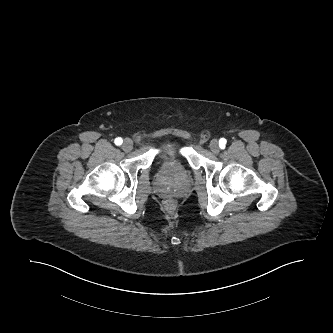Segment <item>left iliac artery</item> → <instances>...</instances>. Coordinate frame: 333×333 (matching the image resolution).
I'll use <instances>...</instances> for the list:
<instances>
[{
	"label": "left iliac artery",
	"instance_id": "obj_1",
	"mask_svg": "<svg viewBox=\"0 0 333 333\" xmlns=\"http://www.w3.org/2000/svg\"><path fill=\"white\" fill-rule=\"evenodd\" d=\"M226 142H227V141H226L225 138H221V139L219 140V145H220V148H221V149L225 148Z\"/></svg>",
	"mask_w": 333,
	"mask_h": 333
}]
</instances>
